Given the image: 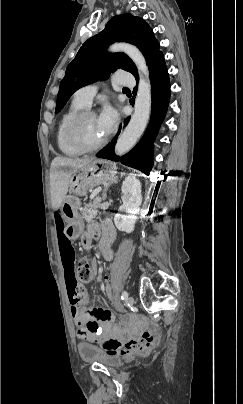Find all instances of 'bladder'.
<instances>
[{"mask_svg":"<svg viewBox=\"0 0 243 404\" xmlns=\"http://www.w3.org/2000/svg\"><path fill=\"white\" fill-rule=\"evenodd\" d=\"M77 349L80 358L87 363H98L107 368H117L122 365L120 356L93 344L80 343Z\"/></svg>","mask_w":243,"mask_h":404,"instance_id":"obj_1","label":"bladder"}]
</instances>
